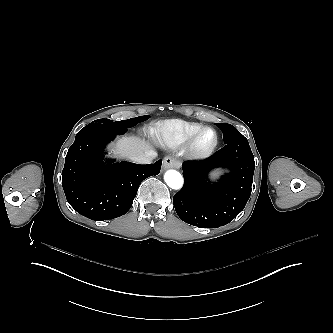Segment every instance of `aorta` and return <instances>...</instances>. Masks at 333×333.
<instances>
[{"mask_svg": "<svg viewBox=\"0 0 333 333\" xmlns=\"http://www.w3.org/2000/svg\"><path fill=\"white\" fill-rule=\"evenodd\" d=\"M164 180L166 184L174 190L181 189L184 183L181 173L174 169H169L165 172Z\"/></svg>", "mask_w": 333, "mask_h": 333, "instance_id": "1", "label": "aorta"}]
</instances>
